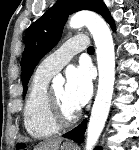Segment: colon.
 <instances>
[{"mask_svg": "<svg viewBox=\"0 0 139 150\" xmlns=\"http://www.w3.org/2000/svg\"><path fill=\"white\" fill-rule=\"evenodd\" d=\"M16 150H26L25 147H17Z\"/></svg>", "mask_w": 139, "mask_h": 150, "instance_id": "5ec220e1", "label": "colon"}]
</instances>
